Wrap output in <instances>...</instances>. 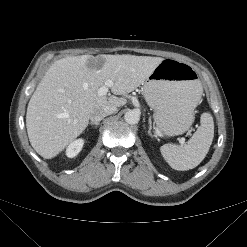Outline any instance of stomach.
<instances>
[{"label":"stomach","instance_id":"obj_1","mask_svg":"<svg viewBox=\"0 0 247 247\" xmlns=\"http://www.w3.org/2000/svg\"><path fill=\"white\" fill-rule=\"evenodd\" d=\"M202 92L193 67L175 59H163L144 83V97L154 110V121L167 137L191 127Z\"/></svg>","mask_w":247,"mask_h":247}]
</instances>
